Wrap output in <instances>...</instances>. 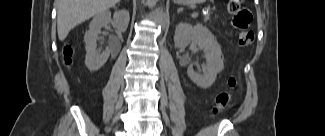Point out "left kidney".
<instances>
[{
    "mask_svg": "<svg viewBox=\"0 0 325 136\" xmlns=\"http://www.w3.org/2000/svg\"><path fill=\"white\" fill-rule=\"evenodd\" d=\"M191 42L203 50L206 65L203 73L194 71L190 66L187 74L198 87L209 88L215 82L217 74L224 68L221 47L211 31L202 24L192 26L189 23H179L175 30V47L184 48Z\"/></svg>",
    "mask_w": 325,
    "mask_h": 136,
    "instance_id": "left-kidney-1",
    "label": "left kidney"
}]
</instances>
